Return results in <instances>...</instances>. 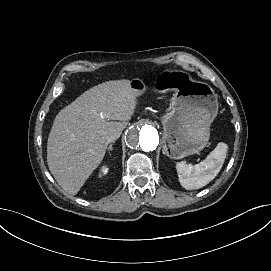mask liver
Masks as SVG:
<instances>
[{"instance_id":"1","label":"liver","mask_w":271,"mask_h":271,"mask_svg":"<svg viewBox=\"0 0 271 271\" xmlns=\"http://www.w3.org/2000/svg\"><path fill=\"white\" fill-rule=\"evenodd\" d=\"M140 94L129 80L108 81L84 92L56 115L47 141V162L64 191L78 193L101 163L109 136L126 127Z\"/></svg>"}]
</instances>
